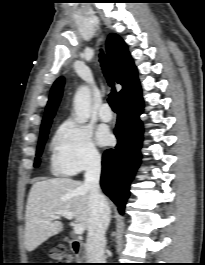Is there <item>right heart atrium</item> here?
Instances as JSON below:
<instances>
[{"mask_svg":"<svg viewBox=\"0 0 205 265\" xmlns=\"http://www.w3.org/2000/svg\"><path fill=\"white\" fill-rule=\"evenodd\" d=\"M101 161L91 130L74 121H65L53 141L52 169L55 173L72 176L96 167Z\"/></svg>","mask_w":205,"mask_h":265,"instance_id":"1","label":"right heart atrium"}]
</instances>
